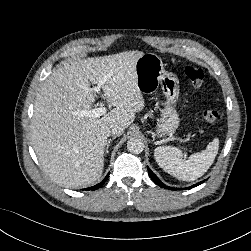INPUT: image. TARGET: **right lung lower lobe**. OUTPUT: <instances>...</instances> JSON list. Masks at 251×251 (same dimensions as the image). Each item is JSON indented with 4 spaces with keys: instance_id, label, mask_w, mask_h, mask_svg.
<instances>
[{
    "instance_id": "obj_1",
    "label": "right lung lower lobe",
    "mask_w": 251,
    "mask_h": 251,
    "mask_svg": "<svg viewBox=\"0 0 251 251\" xmlns=\"http://www.w3.org/2000/svg\"><path fill=\"white\" fill-rule=\"evenodd\" d=\"M108 177H109V174L103 179L102 182H100L99 184H97L95 186L89 187V188H87L85 190H97V189H99L107 181Z\"/></svg>"
}]
</instances>
